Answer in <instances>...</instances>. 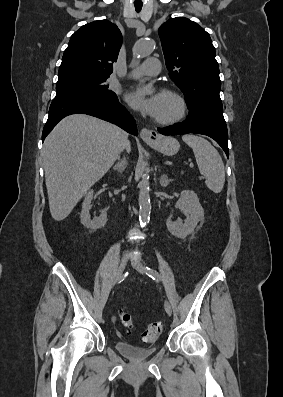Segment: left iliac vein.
<instances>
[{"mask_svg":"<svg viewBox=\"0 0 283 397\" xmlns=\"http://www.w3.org/2000/svg\"><path fill=\"white\" fill-rule=\"evenodd\" d=\"M131 264L141 274L145 273V268H144L143 264L138 259L133 258L131 260ZM164 308H165V311L167 312L168 315L172 314V307H171V304L168 301L164 302Z\"/></svg>","mask_w":283,"mask_h":397,"instance_id":"left-iliac-vein-1","label":"left iliac vein"}]
</instances>
